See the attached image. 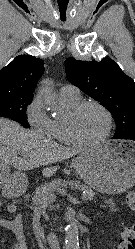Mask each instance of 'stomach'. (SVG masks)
Here are the masks:
<instances>
[{"instance_id": "obj_1", "label": "stomach", "mask_w": 135, "mask_h": 249, "mask_svg": "<svg viewBox=\"0 0 135 249\" xmlns=\"http://www.w3.org/2000/svg\"><path fill=\"white\" fill-rule=\"evenodd\" d=\"M73 166L91 188L123 193L135 184V143L105 141L82 152Z\"/></svg>"}]
</instances>
